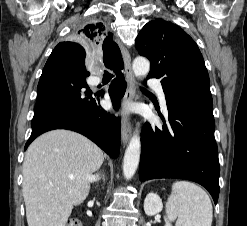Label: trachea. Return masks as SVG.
I'll list each match as a JSON object with an SVG mask.
<instances>
[{
	"mask_svg": "<svg viewBox=\"0 0 247 226\" xmlns=\"http://www.w3.org/2000/svg\"><path fill=\"white\" fill-rule=\"evenodd\" d=\"M104 77H106V78H112L113 77V75L112 74H110L109 72H107V71H104Z\"/></svg>",
	"mask_w": 247,
	"mask_h": 226,
	"instance_id": "trachea-1",
	"label": "trachea"
}]
</instances>
